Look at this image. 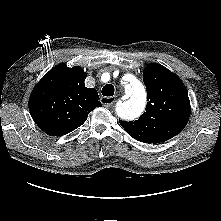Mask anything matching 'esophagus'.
<instances>
[{
  "instance_id": "1",
  "label": "esophagus",
  "mask_w": 221,
  "mask_h": 221,
  "mask_svg": "<svg viewBox=\"0 0 221 221\" xmlns=\"http://www.w3.org/2000/svg\"><path fill=\"white\" fill-rule=\"evenodd\" d=\"M116 98L114 96L112 97H101L100 101L105 107H110L114 102Z\"/></svg>"
}]
</instances>
